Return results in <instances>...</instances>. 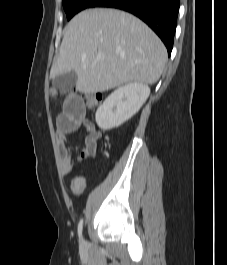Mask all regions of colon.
Returning a JSON list of instances; mask_svg holds the SVG:
<instances>
[{
	"label": "colon",
	"instance_id": "1",
	"mask_svg": "<svg viewBox=\"0 0 227 265\" xmlns=\"http://www.w3.org/2000/svg\"><path fill=\"white\" fill-rule=\"evenodd\" d=\"M58 91L56 89H51L52 94H56ZM79 96H84L86 105L88 109L95 108L99 102L101 101V97L99 95L93 94H79Z\"/></svg>",
	"mask_w": 227,
	"mask_h": 265
}]
</instances>
